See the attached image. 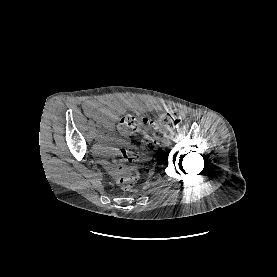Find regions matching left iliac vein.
Masks as SVG:
<instances>
[{"instance_id":"left-iliac-vein-1","label":"left iliac vein","mask_w":277,"mask_h":277,"mask_svg":"<svg viewBox=\"0 0 277 277\" xmlns=\"http://www.w3.org/2000/svg\"><path fill=\"white\" fill-rule=\"evenodd\" d=\"M170 142H171V140L167 138V139H164L163 144L164 145H169Z\"/></svg>"}]
</instances>
